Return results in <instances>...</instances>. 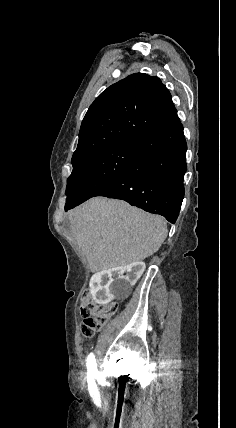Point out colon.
I'll list each match as a JSON object with an SVG mask.
<instances>
[{
	"mask_svg": "<svg viewBox=\"0 0 236 428\" xmlns=\"http://www.w3.org/2000/svg\"><path fill=\"white\" fill-rule=\"evenodd\" d=\"M118 309V304L111 302L105 305H97L92 301L89 291L82 295L81 314L83 316L82 333L85 337H92L99 332L113 317Z\"/></svg>",
	"mask_w": 236,
	"mask_h": 428,
	"instance_id": "obj_1",
	"label": "colon"
}]
</instances>
